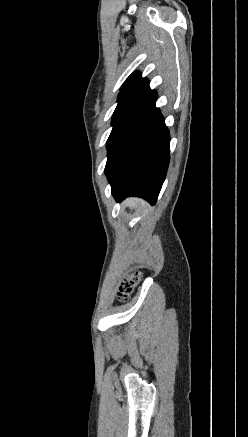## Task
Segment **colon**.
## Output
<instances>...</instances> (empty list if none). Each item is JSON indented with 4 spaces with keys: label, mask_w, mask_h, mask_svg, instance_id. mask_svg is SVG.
<instances>
[{
    "label": "colon",
    "mask_w": 248,
    "mask_h": 437,
    "mask_svg": "<svg viewBox=\"0 0 248 437\" xmlns=\"http://www.w3.org/2000/svg\"><path fill=\"white\" fill-rule=\"evenodd\" d=\"M141 279V273L136 271L123 278L118 286L117 297L120 301H126Z\"/></svg>",
    "instance_id": "colon-1"
}]
</instances>
